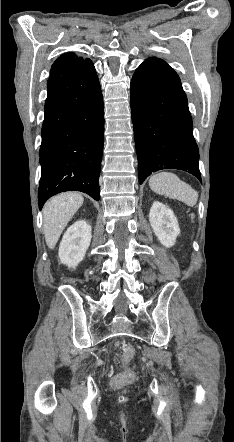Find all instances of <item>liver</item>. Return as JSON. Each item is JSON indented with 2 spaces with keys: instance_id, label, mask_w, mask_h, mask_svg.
Segmentation results:
<instances>
[{
  "instance_id": "1",
  "label": "liver",
  "mask_w": 234,
  "mask_h": 442,
  "mask_svg": "<svg viewBox=\"0 0 234 442\" xmlns=\"http://www.w3.org/2000/svg\"><path fill=\"white\" fill-rule=\"evenodd\" d=\"M84 198L75 192H65L51 198L44 206V235L53 249L70 219L82 206Z\"/></svg>"
}]
</instances>
